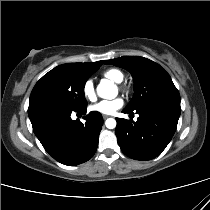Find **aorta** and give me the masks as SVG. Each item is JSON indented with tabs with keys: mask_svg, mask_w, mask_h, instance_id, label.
<instances>
[{
	"mask_svg": "<svg viewBox=\"0 0 210 210\" xmlns=\"http://www.w3.org/2000/svg\"><path fill=\"white\" fill-rule=\"evenodd\" d=\"M97 93L101 98L112 99L117 95L115 85L110 81L101 82L97 87ZM108 129H114L116 127V120L108 118L105 122Z\"/></svg>",
	"mask_w": 210,
	"mask_h": 210,
	"instance_id": "aorta-1",
	"label": "aorta"
}]
</instances>
